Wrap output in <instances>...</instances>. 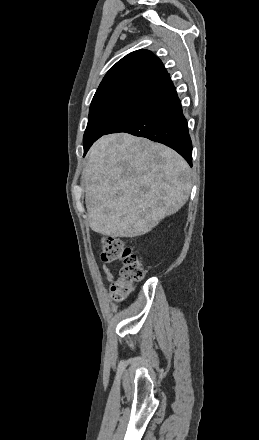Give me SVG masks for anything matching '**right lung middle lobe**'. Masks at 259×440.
Instances as JSON below:
<instances>
[{"instance_id":"1","label":"right lung middle lobe","mask_w":259,"mask_h":440,"mask_svg":"<svg viewBox=\"0 0 259 440\" xmlns=\"http://www.w3.org/2000/svg\"><path fill=\"white\" fill-rule=\"evenodd\" d=\"M144 91H120L93 98L83 137L84 147L104 135L146 95Z\"/></svg>"}]
</instances>
